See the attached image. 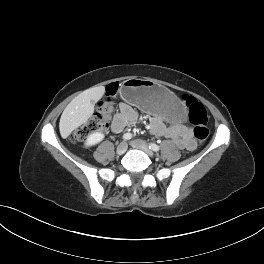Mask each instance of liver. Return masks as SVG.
<instances>
[{"label": "liver", "instance_id": "6515ba94", "mask_svg": "<svg viewBox=\"0 0 264 264\" xmlns=\"http://www.w3.org/2000/svg\"><path fill=\"white\" fill-rule=\"evenodd\" d=\"M104 93V86L89 88L66 106L59 123L62 138H67L73 130L87 122L94 112V104L102 98Z\"/></svg>", "mask_w": 264, "mask_h": 264}]
</instances>
